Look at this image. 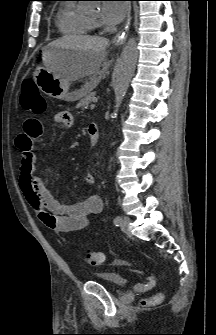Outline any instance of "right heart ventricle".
<instances>
[{"label":"right heart ventricle","mask_w":216,"mask_h":335,"mask_svg":"<svg viewBox=\"0 0 216 335\" xmlns=\"http://www.w3.org/2000/svg\"><path fill=\"white\" fill-rule=\"evenodd\" d=\"M59 32L67 36H84L91 33L94 23L85 13L78 10L76 4H62L55 19Z\"/></svg>","instance_id":"right-heart-ventricle-1"}]
</instances>
